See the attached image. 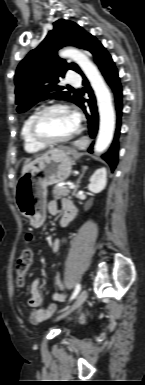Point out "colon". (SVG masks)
<instances>
[{"instance_id":"5ec220e1","label":"colon","mask_w":145,"mask_h":385,"mask_svg":"<svg viewBox=\"0 0 145 385\" xmlns=\"http://www.w3.org/2000/svg\"><path fill=\"white\" fill-rule=\"evenodd\" d=\"M32 239V236L29 234L27 236V240L30 241ZM33 249L30 247L24 248L20 255L18 256L15 264L16 273L18 276V283L22 284L24 281L25 276L27 275L32 261H33Z\"/></svg>"}]
</instances>
